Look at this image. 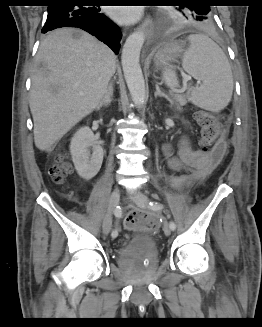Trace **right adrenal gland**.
Instances as JSON below:
<instances>
[{
	"label": "right adrenal gland",
	"mask_w": 262,
	"mask_h": 327,
	"mask_svg": "<svg viewBox=\"0 0 262 327\" xmlns=\"http://www.w3.org/2000/svg\"><path fill=\"white\" fill-rule=\"evenodd\" d=\"M113 96V87L112 84H110L108 90L106 91L102 101L98 105L97 109L99 110L102 106L108 107L112 101Z\"/></svg>",
	"instance_id": "obj_1"
}]
</instances>
